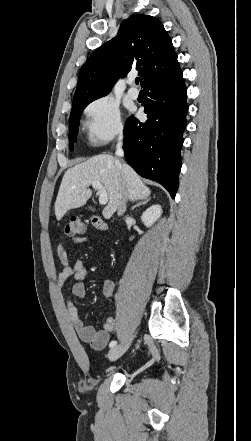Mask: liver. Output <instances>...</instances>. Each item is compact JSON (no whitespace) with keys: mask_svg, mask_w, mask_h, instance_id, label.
<instances>
[{"mask_svg":"<svg viewBox=\"0 0 251 441\" xmlns=\"http://www.w3.org/2000/svg\"><path fill=\"white\" fill-rule=\"evenodd\" d=\"M95 181L108 193L109 201L102 212L105 219L118 209L124 190L131 201L147 199L151 194L129 165L108 154L96 155L65 172L55 202L56 219L61 220L68 210L85 205L92 195L89 186Z\"/></svg>","mask_w":251,"mask_h":441,"instance_id":"1","label":"liver"}]
</instances>
